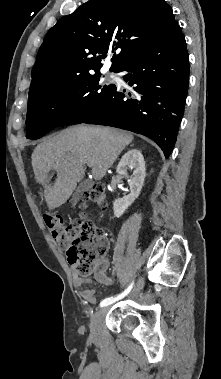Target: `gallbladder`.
<instances>
[{
    "label": "gallbladder",
    "mask_w": 221,
    "mask_h": 379,
    "mask_svg": "<svg viewBox=\"0 0 221 379\" xmlns=\"http://www.w3.org/2000/svg\"><path fill=\"white\" fill-rule=\"evenodd\" d=\"M88 187H89L88 182L80 183V185L77 187V189L75 190L72 196V199H71L72 207H74L77 204V202L79 201L80 195L82 194V192L87 190Z\"/></svg>",
    "instance_id": "1"
}]
</instances>
